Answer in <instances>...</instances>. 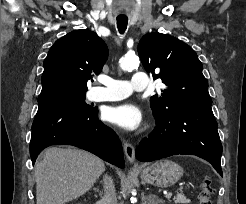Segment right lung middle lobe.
Listing matches in <instances>:
<instances>
[{
  "label": "right lung middle lobe",
  "instance_id": "1",
  "mask_svg": "<svg viewBox=\"0 0 246 204\" xmlns=\"http://www.w3.org/2000/svg\"><path fill=\"white\" fill-rule=\"evenodd\" d=\"M52 99H66V100H74L81 103V107L84 109H92L93 107L86 104L85 102V93H68L62 94ZM51 100V99H50Z\"/></svg>",
  "mask_w": 246,
  "mask_h": 204
}]
</instances>
